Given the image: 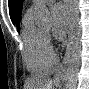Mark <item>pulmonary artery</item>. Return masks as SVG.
I'll use <instances>...</instances> for the list:
<instances>
[{"label":"pulmonary artery","instance_id":"pulmonary-artery-1","mask_svg":"<svg viewBox=\"0 0 89 89\" xmlns=\"http://www.w3.org/2000/svg\"><path fill=\"white\" fill-rule=\"evenodd\" d=\"M52 2L51 0H47V1H34L32 6L29 9V12H33L35 10V8L38 6L39 3H50Z\"/></svg>","mask_w":89,"mask_h":89}]
</instances>
